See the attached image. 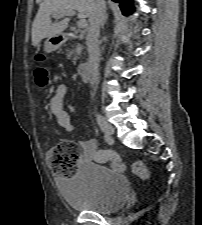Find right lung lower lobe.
<instances>
[{
	"label": "right lung lower lobe",
	"instance_id": "obj_1",
	"mask_svg": "<svg viewBox=\"0 0 202 225\" xmlns=\"http://www.w3.org/2000/svg\"><path fill=\"white\" fill-rule=\"evenodd\" d=\"M116 3H119L120 8L123 14L128 15L132 11V0H112Z\"/></svg>",
	"mask_w": 202,
	"mask_h": 225
}]
</instances>
